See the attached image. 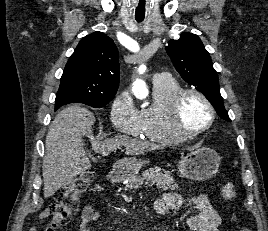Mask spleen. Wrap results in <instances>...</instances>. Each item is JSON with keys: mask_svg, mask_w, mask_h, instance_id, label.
<instances>
[{"mask_svg": "<svg viewBox=\"0 0 268 231\" xmlns=\"http://www.w3.org/2000/svg\"><path fill=\"white\" fill-rule=\"evenodd\" d=\"M222 195L225 199H231L232 197H235V191H233V184L227 183L223 190Z\"/></svg>", "mask_w": 268, "mask_h": 231, "instance_id": "obj_1", "label": "spleen"}]
</instances>
